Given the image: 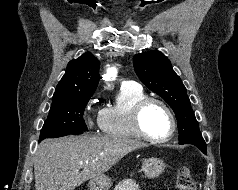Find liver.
I'll use <instances>...</instances> for the list:
<instances>
[{
  "mask_svg": "<svg viewBox=\"0 0 238 190\" xmlns=\"http://www.w3.org/2000/svg\"><path fill=\"white\" fill-rule=\"evenodd\" d=\"M144 146L138 141L110 137L46 139L35 154V190H74L104 175L125 155Z\"/></svg>",
  "mask_w": 238,
  "mask_h": 190,
  "instance_id": "liver-1",
  "label": "liver"
}]
</instances>
